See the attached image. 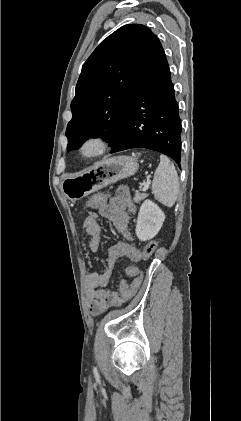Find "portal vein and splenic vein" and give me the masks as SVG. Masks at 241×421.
Instances as JSON below:
<instances>
[{
    "label": "portal vein and splenic vein",
    "instance_id": "1",
    "mask_svg": "<svg viewBox=\"0 0 241 421\" xmlns=\"http://www.w3.org/2000/svg\"><path fill=\"white\" fill-rule=\"evenodd\" d=\"M150 186V180L148 179L147 182L144 184L142 191H147Z\"/></svg>",
    "mask_w": 241,
    "mask_h": 421
}]
</instances>
